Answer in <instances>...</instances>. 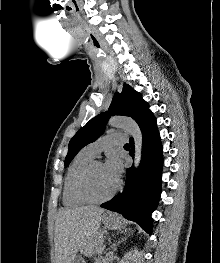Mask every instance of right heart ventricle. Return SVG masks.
Returning a JSON list of instances; mask_svg holds the SVG:
<instances>
[{
    "label": "right heart ventricle",
    "mask_w": 220,
    "mask_h": 263,
    "mask_svg": "<svg viewBox=\"0 0 220 263\" xmlns=\"http://www.w3.org/2000/svg\"><path fill=\"white\" fill-rule=\"evenodd\" d=\"M92 160H94V156L83 149L74 157V159L70 163L63 188L62 201L65 206L76 207L88 203L86 200L77 195L75 184L79 173Z\"/></svg>",
    "instance_id": "right-heart-ventricle-1"
}]
</instances>
